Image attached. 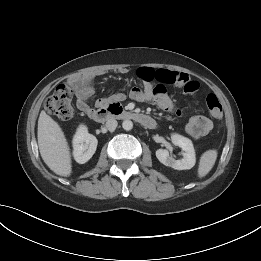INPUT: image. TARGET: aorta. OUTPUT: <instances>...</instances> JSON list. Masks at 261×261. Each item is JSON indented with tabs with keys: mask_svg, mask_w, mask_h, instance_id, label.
<instances>
[{
	"mask_svg": "<svg viewBox=\"0 0 261 261\" xmlns=\"http://www.w3.org/2000/svg\"><path fill=\"white\" fill-rule=\"evenodd\" d=\"M122 127L126 131H130L133 128V122L131 120H124Z\"/></svg>",
	"mask_w": 261,
	"mask_h": 261,
	"instance_id": "aorta-1",
	"label": "aorta"
}]
</instances>
